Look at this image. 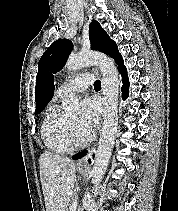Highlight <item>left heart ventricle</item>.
I'll return each instance as SVG.
<instances>
[{"label":"left heart ventricle","mask_w":178,"mask_h":211,"mask_svg":"<svg viewBox=\"0 0 178 211\" xmlns=\"http://www.w3.org/2000/svg\"><path fill=\"white\" fill-rule=\"evenodd\" d=\"M69 121L75 129L77 139L80 140V141L85 139L87 136L78 127V117H76V116L71 117V118H69Z\"/></svg>","instance_id":"1"}]
</instances>
